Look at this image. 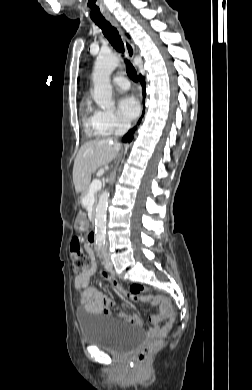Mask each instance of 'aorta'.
<instances>
[{
	"mask_svg": "<svg viewBox=\"0 0 252 390\" xmlns=\"http://www.w3.org/2000/svg\"><path fill=\"white\" fill-rule=\"evenodd\" d=\"M119 63L118 56L99 55L96 59L92 79L94 84L93 98L102 109H111L114 106L112 100V86L110 75ZM109 199V191L104 190L99 197L95 217V239L96 243L104 244L106 240V213Z\"/></svg>",
	"mask_w": 252,
	"mask_h": 390,
	"instance_id": "aorta-1",
	"label": "aorta"
}]
</instances>
